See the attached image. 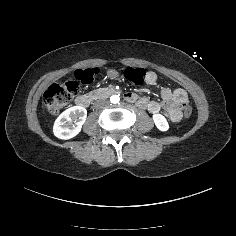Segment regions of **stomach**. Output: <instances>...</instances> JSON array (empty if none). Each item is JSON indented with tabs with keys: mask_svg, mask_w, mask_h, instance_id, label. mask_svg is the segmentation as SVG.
Masks as SVG:
<instances>
[{
	"mask_svg": "<svg viewBox=\"0 0 236 236\" xmlns=\"http://www.w3.org/2000/svg\"><path fill=\"white\" fill-rule=\"evenodd\" d=\"M107 76L110 77L111 79H118L119 78V72L115 69L109 68L106 70Z\"/></svg>",
	"mask_w": 236,
	"mask_h": 236,
	"instance_id": "1",
	"label": "stomach"
}]
</instances>
